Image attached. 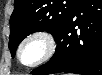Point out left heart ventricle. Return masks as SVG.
<instances>
[{"label":"left heart ventricle","mask_w":102,"mask_h":75,"mask_svg":"<svg viewBox=\"0 0 102 75\" xmlns=\"http://www.w3.org/2000/svg\"><path fill=\"white\" fill-rule=\"evenodd\" d=\"M44 52V43L39 40H32L30 41L23 52V59L25 62H28L30 59L39 57L43 54Z\"/></svg>","instance_id":"obj_1"}]
</instances>
